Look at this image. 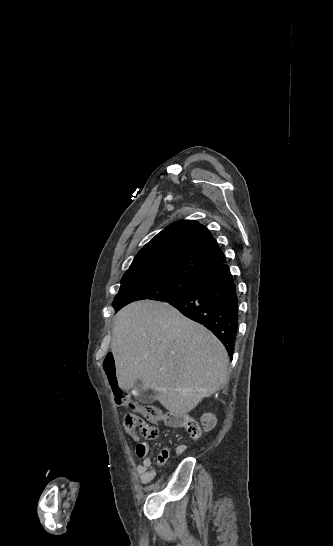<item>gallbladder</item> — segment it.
<instances>
[{
  "label": "gallbladder",
  "mask_w": 333,
  "mask_h": 546,
  "mask_svg": "<svg viewBox=\"0 0 333 546\" xmlns=\"http://www.w3.org/2000/svg\"><path fill=\"white\" fill-rule=\"evenodd\" d=\"M134 389L136 390L137 397H138L139 400L145 401L147 403H151L154 400V398L152 396H147L143 392V383H142L141 379H137L135 381Z\"/></svg>",
  "instance_id": "1"
}]
</instances>
